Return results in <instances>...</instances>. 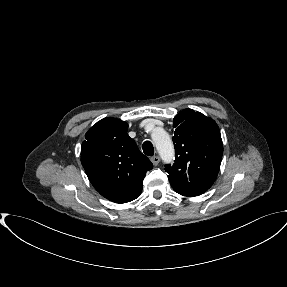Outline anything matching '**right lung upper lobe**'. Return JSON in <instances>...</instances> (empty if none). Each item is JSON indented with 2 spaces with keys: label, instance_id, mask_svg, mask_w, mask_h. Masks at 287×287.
Listing matches in <instances>:
<instances>
[{
  "label": "right lung upper lobe",
  "instance_id": "1",
  "mask_svg": "<svg viewBox=\"0 0 287 287\" xmlns=\"http://www.w3.org/2000/svg\"><path fill=\"white\" fill-rule=\"evenodd\" d=\"M127 129L126 122L104 118L89 129L81 147V163L91 184L115 203L136 199L146 172L153 168Z\"/></svg>",
  "mask_w": 287,
  "mask_h": 287
}]
</instances>
